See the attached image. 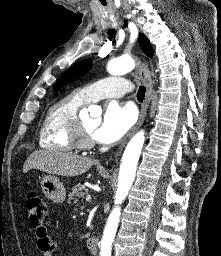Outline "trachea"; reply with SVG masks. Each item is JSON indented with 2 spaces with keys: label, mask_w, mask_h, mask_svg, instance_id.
<instances>
[{
  "label": "trachea",
  "mask_w": 221,
  "mask_h": 256,
  "mask_svg": "<svg viewBox=\"0 0 221 256\" xmlns=\"http://www.w3.org/2000/svg\"><path fill=\"white\" fill-rule=\"evenodd\" d=\"M145 87L144 86H140L138 92H137V99L139 102H142L144 100L145 97Z\"/></svg>",
  "instance_id": "trachea-1"
}]
</instances>
